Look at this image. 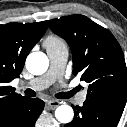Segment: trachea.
Instances as JSON below:
<instances>
[{"label":"trachea","mask_w":127,"mask_h":127,"mask_svg":"<svg viewBox=\"0 0 127 127\" xmlns=\"http://www.w3.org/2000/svg\"><path fill=\"white\" fill-rule=\"evenodd\" d=\"M80 89L77 87L73 90H71L70 92H62V93H59L57 95V98H60V99H68V98H71L77 91H79ZM24 93L27 95V96H30V97H35L36 96V93L35 91H33L32 89H26L24 91Z\"/></svg>","instance_id":"3493384b"}]
</instances>
